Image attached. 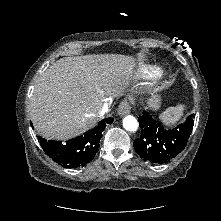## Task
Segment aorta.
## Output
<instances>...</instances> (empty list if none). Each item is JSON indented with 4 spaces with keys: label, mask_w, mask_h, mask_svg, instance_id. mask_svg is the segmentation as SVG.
<instances>
[{
    "label": "aorta",
    "mask_w": 221,
    "mask_h": 221,
    "mask_svg": "<svg viewBox=\"0 0 221 221\" xmlns=\"http://www.w3.org/2000/svg\"><path fill=\"white\" fill-rule=\"evenodd\" d=\"M123 127L127 131L134 132L138 129V122L134 116H126L123 119Z\"/></svg>",
    "instance_id": "1"
}]
</instances>
